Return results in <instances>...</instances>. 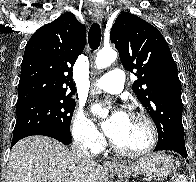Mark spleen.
Listing matches in <instances>:
<instances>
[{"label": "spleen", "mask_w": 196, "mask_h": 182, "mask_svg": "<svg viewBox=\"0 0 196 182\" xmlns=\"http://www.w3.org/2000/svg\"><path fill=\"white\" fill-rule=\"evenodd\" d=\"M175 182H187V179L184 175H180Z\"/></svg>", "instance_id": "1"}]
</instances>
